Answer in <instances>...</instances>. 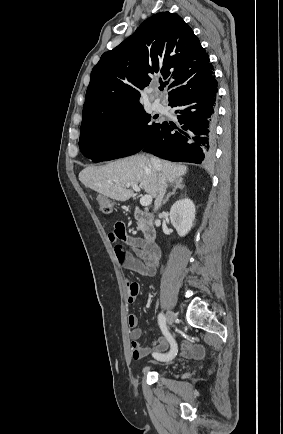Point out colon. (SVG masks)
I'll use <instances>...</instances> for the list:
<instances>
[{
  "mask_svg": "<svg viewBox=\"0 0 283 434\" xmlns=\"http://www.w3.org/2000/svg\"><path fill=\"white\" fill-rule=\"evenodd\" d=\"M97 203L104 213L108 214L113 211V203L109 198L99 195L97 197Z\"/></svg>",
  "mask_w": 283,
  "mask_h": 434,
  "instance_id": "colon-1",
  "label": "colon"
}]
</instances>
